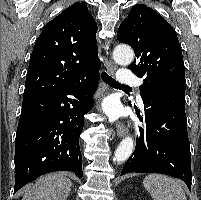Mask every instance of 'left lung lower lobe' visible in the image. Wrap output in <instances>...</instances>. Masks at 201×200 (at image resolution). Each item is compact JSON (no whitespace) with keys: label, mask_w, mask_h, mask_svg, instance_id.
I'll return each mask as SVG.
<instances>
[{"label":"left lung lower lobe","mask_w":201,"mask_h":200,"mask_svg":"<svg viewBox=\"0 0 201 200\" xmlns=\"http://www.w3.org/2000/svg\"><path fill=\"white\" fill-rule=\"evenodd\" d=\"M146 131L139 128L136 147L121 175L162 173L182 179L191 190L190 142L185 90L158 89L142 97Z\"/></svg>","instance_id":"1"}]
</instances>
